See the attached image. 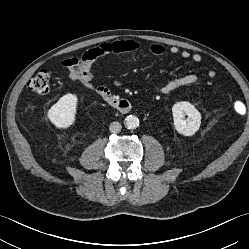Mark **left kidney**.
<instances>
[{
	"label": "left kidney",
	"instance_id": "5707ae66",
	"mask_svg": "<svg viewBox=\"0 0 249 249\" xmlns=\"http://www.w3.org/2000/svg\"><path fill=\"white\" fill-rule=\"evenodd\" d=\"M174 126L179 134L184 136L194 135L201 125L200 112L189 102H177L172 107ZM185 115L188 119H184Z\"/></svg>",
	"mask_w": 249,
	"mask_h": 249
}]
</instances>
